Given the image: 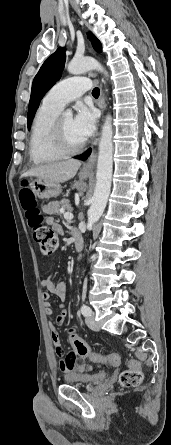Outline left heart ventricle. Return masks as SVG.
<instances>
[{"instance_id":"1","label":"left heart ventricle","mask_w":171,"mask_h":445,"mask_svg":"<svg viewBox=\"0 0 171 445\" xmlns=\"http://www.w3.org/2000/svg\"><path fill=\"white\" fill-rule=\"evenodd\" d=\"M62 127L66 141L70 145H78L84 141L76 132L73 126V119L70 117H62Z\"/></svg>"}]
</instances>
